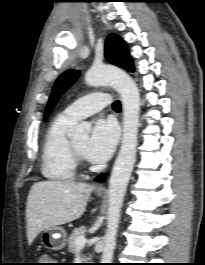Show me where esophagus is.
<instances>
[{
  "mask_svg": "<svg viewBox=\"0 0 205 265\" xmlns=\"http://www.w3.org/2000/svg\"><path fill=\"white\" fill-rule=\"evenodd\" d=\"M96 191L97 192H103V191H105V186L103 184H98L96 186Z\"/></svg>",
  "mask_w": 205,
  "mask_h": 265,
  "instance_id": "34e87169",
  "label": "esophagus"
}]
</instances>
